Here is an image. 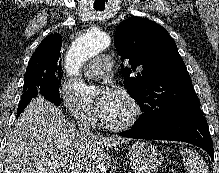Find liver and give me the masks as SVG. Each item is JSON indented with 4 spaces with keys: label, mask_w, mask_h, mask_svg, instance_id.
Returning <instances> with one entry per match:
<instances>
[{
    "label": "liver",
    "mask_w": 219,
    "mask_h": 173,
    "mask_svg": "<svg viewBox=\"0 0 219 173\" xmlns=\"http://www.w3.org/2000/svg\"><path fill=\"white\" fill-rule=\"evenodd\" d=\"M125 138H84L63 112L39 95L19 116L7 138L4 173H106Z\"/></svg>",
    "instance_id": "1"
}]
</instances>
